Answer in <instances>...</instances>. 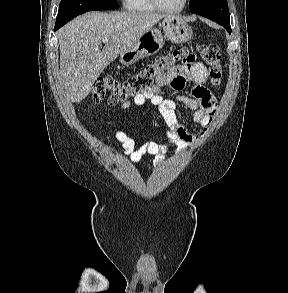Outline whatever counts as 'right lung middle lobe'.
I'll return each instance as SVG.
<instances>
[{"label":"right lung middle lobe","instance_id":"right-lung-middle-lobe-1","mask_svg":"<svg viewBox=\"0 0 288 293\" xmlns=\"http://www.w3.org/2000/svg\"><path fill=\"white\" fill-rule=\"evenodd\" d=\"M116 8V0H61L55 26H63L87 11Z\"/></svg>","mask_w":288,"mask_h":293}]
</instances>
